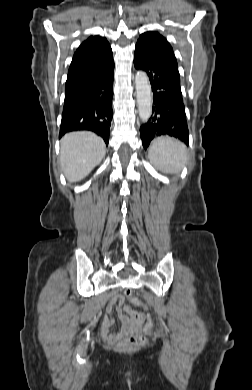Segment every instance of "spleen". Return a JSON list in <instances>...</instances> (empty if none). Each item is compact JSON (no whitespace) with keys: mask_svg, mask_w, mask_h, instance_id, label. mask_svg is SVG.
<instances>
[{"mask_svg":"<svg viewBox=\"0 0 252 390\" xmlns=\"http://www.w3.org/2000/svg\"><path fill=\"white\" fill-rule=\"evenodd\" d=\"M186 154V146L170 137L156 138L149 150L150 160L166 173L179 171L186 160Z\"/></svg>","mask_w":252,"mask_h":390,"instance_id":"3e777b00","label":"spleen"}]
</instances>
